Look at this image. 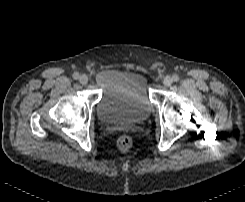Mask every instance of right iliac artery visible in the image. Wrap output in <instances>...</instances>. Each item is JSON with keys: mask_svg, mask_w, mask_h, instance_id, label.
<instances>
[{"mask_svg": "<svg viewBox=\"0 0 245 202\" xmlns=\"http://www.w3.org/2000/svg\"><path fill=\"white\" fill-rule=\"evenodd\" d=\"M79 77H80L79 73H74L73 74V79L77 80V79H79Z\"/></svg>", "mask_w": 245, "mask_h": 202, "instance_id": "1", "label": "right iliac artery"}]
</instances>
